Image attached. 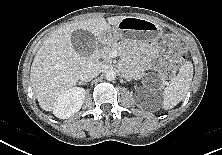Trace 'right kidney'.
<instances>
[{
	"label": "right kidney",
	"mask_w": 222,
	"mask_h": 155,
	"mask_svg": "<svg viewBox=\"0 0 222 155\" xmlns=\"http://www.w3.org/2000/svg\"><path fill=\"white\" fill-rule=\"evenodd\" d=\"M85 98V89L73 87L62 93L55 101L53 114L60 119H67L78 112Z\"/></svg>",
	"instance_id": "obj_1"
}]
</instances>
